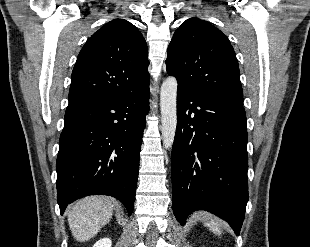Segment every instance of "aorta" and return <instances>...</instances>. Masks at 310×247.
<instances>
[{"instance_id":"762f6f07","label":"aorta","mask_w":310,"mask_h":247,"mask_svg":"<svg viewBox=\"0 0 310 247\" xmlns=\"http://www.w3.org/2000/svg\"><path fill=\"white\" fill-rule=\"evenodd\" d=\"M177 80L168 77L161 86L160 107L162 122V140L166 149H170L174 142L177 125Z\"/></svg>"}]
</instances>
